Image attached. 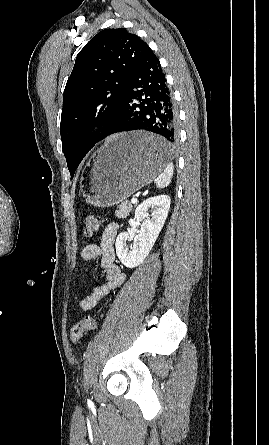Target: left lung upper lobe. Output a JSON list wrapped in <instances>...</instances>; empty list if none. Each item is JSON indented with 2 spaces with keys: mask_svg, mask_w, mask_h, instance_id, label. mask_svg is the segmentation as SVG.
Listing matches in <instances>:
<instances>
[{
  "mask_svg": "<svg viewBox=\"0 0 269 445\" xmlns=\"http://www.w3.org/2000/svg\"><path fill=\"white\" fill-rule=\"evenodd\" d=\"M148 47L125 28L104 29L78 53L65 86L60 133L71 177L121 115L128 81ZM102 123L104 130L85 139Z\"/></svg>",
  "mask_w": 269,
  "mask_h": 445,
  "instance_id": "1",
  "label": "left lung upper lobe"
}]
</instances>
